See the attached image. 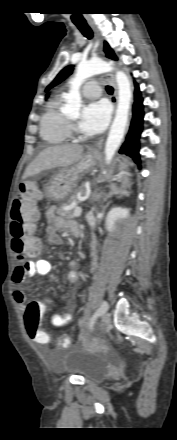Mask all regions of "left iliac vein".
Listing matches in <instances>:
<instances>
[{
    "label": "left iliac vein",
    "instance_id": "4c4485c4",
    "mask_svg": "<svg viewBox=\"0 0 177 440\" xmlns=\"http://www.w3.org/2000/svg\"><path fill=\"white\" fill-rule=\"evenodd\" d=\"M110 322H111V315H110L109 312L105 311L102 314V319H101V322H100L101 330H105L107 328V326L110 324Z\"/></svg>",
    "mask_w": 177,
    "mask_h": 440
}]
</instances>
